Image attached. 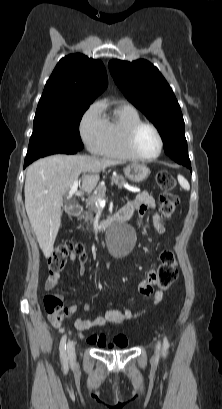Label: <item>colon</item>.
Wrapping results in <instances>:
<instances>
[{
    "instance_id": "5ec220e1",
    "label": "colon",
    "mask_w": 222,
    "mask_h": 409,
    "mask_svg": "<svg viewBox=\"0 0 222 409\" xmlns=\"http://www.w3.org/2000/svg\"><path fill=\"white\" fill-rule=\"evenodd\" d=\"M156 183L161 191V212L165 217H170L175 212L179 203V198L174 193L176 180L171 173L161 171L157 174ZM72 254L77 255L81 262H85L87 258L85 247L80 242L66 241L58 244L50 254L48 262L49 271L52 274L61 272ZM156 269L160 271V277L158 278L159 283L153 285V287L155 286L159 290H165L175 281L178 273L177 259L172 251L165 250L162 252L160 263ZM43 304L46 312L50 315H56L63 318L70 315V311L64 307L61 298L56 295H46Z\"/></svg>"
}]
</instances>
